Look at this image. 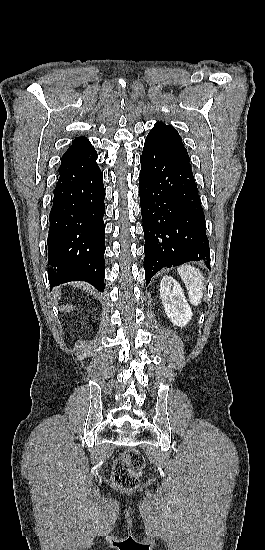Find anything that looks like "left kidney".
Listing matches in <instances>:
<instances>
[{
  "label": "left kidney",
  "instance_id": "1",
  "mask_svg": "<svg viewBox=\"0 0 265 550\" xmlns=\"http://www.w3.org/2000/svg\"><path fill=\"white\" fill-rule=\"evenodd\" d=\"M160 297L164 310L173 325L183 327L192 318V311L180 284L169 276L160 283Z\"/></svg>",
  "mask_w": 265,
  "mask_h": 550
}]
</instances>
